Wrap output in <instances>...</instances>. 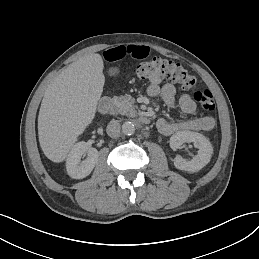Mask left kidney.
<instances>
[{
	"mask_svg": "<svg viewBox=\"0 0 259 259\" xmlns=\"http://www.w3.org/2000/svg\"><path fill=\"white\" fill-rule=\"evenodd\" d=\"M185 142H192L195 147L199 148L198 155L191 161L176 158L174 165L177 169L184 170L189 173L199 172L210 162L214 153L213 146L204 135L192 131H179L170 138V146L172 150L179 149Z\"/></svg>",
	"mask_w": 259,
	"mask_h": 259,
	"instance_id": "1",
	"label": "left kidney"
}]
</instances>
